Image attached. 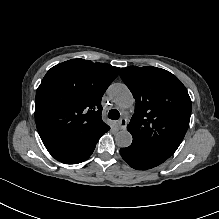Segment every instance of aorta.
I'll return each instance as SVG.
<instances>
[{
	"mask_svg": "<svg viewBox=\"0 0 219 219\" xmlns=\"http://www.w3.org/2000/svg\"><path fill=\"white\" fill-rule=\"evenodd\" d=\"M108 94L111 99L122 109L131 107L134 104V98L128 87L123 83L111 84L108 88ZM131 133L124 129L117 132L115 142L119 147L126 148L132 144Z\"/></svg>",
	"mask_w": 219,
	"mask_h": 219,
	"instance_id": "obj_1",
	"label": "aorta"
}]
</instances>
